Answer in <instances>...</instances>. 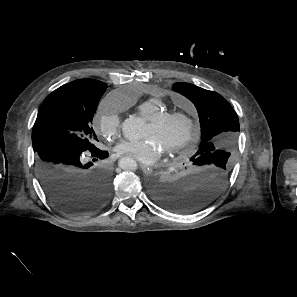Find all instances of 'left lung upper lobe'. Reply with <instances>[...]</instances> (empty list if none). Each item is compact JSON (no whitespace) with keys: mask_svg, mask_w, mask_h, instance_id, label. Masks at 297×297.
<instances>
[{"mask_svg":"<svg viewBox=\"0 0 297 297\" xmlns=\"http://www.w3.org/2000/svg\"><path fill=\"white\" fill-rule=\"evenodd\" d=\"M173 90L191 100L200 117L202 138L193 158L224 163L231 169L240 127L230 103L216 92L185 82L174 84Z\"/></svg>","mask_w":297,"mask_h":297,"instance_id":"5c2ea615","label":"left lung upper lobe"}]
</instances>
